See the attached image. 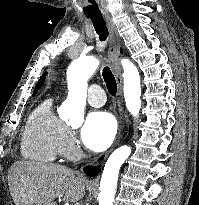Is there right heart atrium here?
<instances>
[{
  "mask_svg": "<svg viewBox=\"0 0 199 205\" xmlns=\"http://www.w3.org/2000/svg\"><path fill=\"white\" fill-rule=\"evenodd\" d=\"M61 153L69 158L74 157L77 153V141L75 134L67 128L62 137Z\"/></svg>",
  "mask_w": 199,
  "mask_h": 205,
  "instance_id": "obj_1",
  "label": "right heart atrium"
}]
</instances>
